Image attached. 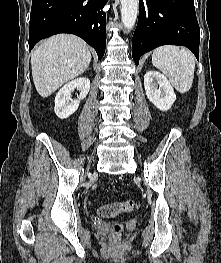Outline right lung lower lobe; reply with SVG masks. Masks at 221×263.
Here are the masks:
<instances>
[{
    "instance_id": "98d812e1",
    "label": "right lung lower lobe",
    "mask_w": 221,
    "mask_h": 263,
    "mask_svg": "<svg viewBox=\"0 0 221 263\" xmlns=\"http://www.w3.org/2000/svg\"><path fill=\"white\" fill-rule=\"evenodd\" d=\"M108 0H32L29 50L41 39L58 33H72L92 46L101 59L106 47Z\"/></svg>"
}]
</instances>
